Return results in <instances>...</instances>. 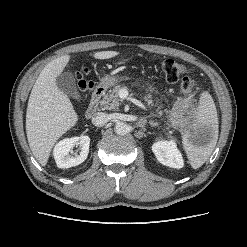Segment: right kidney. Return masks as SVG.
Masks as SVG:
<instances>
[{
  "mask_svg": "<svg viewBox=\"0 0 247 247\" xmlns=\"http://www.w3.org/2000/svg\"><path fill=\"white\" fill-rule=\"evenodd\" d=\"M89 145V136H77L61 140L55 145L53 150V156L57 166L59 168L65 169L81 164L88 156ZM75 146L80 147L79 154H76L75 156L69 155V152Z\"/></svg>",
  "mask_w": 247,
  "mask_h": 247,
  "instance_id": "obj_1",
  "label": "right kidney"
}]
</instances>
